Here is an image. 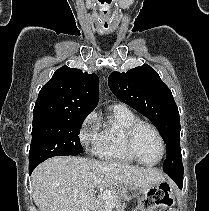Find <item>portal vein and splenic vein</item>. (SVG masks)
Returning a JSON list of instances; mask_svg holds the SVG:
<instances>
[{
  "instance_id": "1",
  "label": "portal vein and splenic vein",
  "mask_w": 209,
  "mask_h": 211,
  "mask_svg": "<svg viewBox=\"0 0 209 211\" xmlns=\"http://www.w3.org/2000/svg\"><path fill=\"white\" fill-rule=\"evenodd\" d=\"M101 183V179H96L94 181V186H98ZM101 198L106 200L109 203H113L114 193L111 190H105L100 193L99 195Z\"/></svg>"
}]
</instances>
